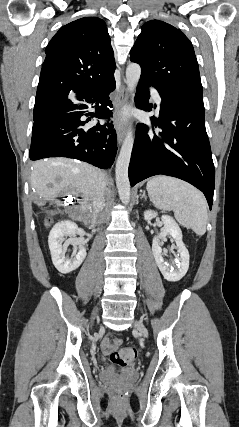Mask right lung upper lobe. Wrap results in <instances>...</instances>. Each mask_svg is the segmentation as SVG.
<instances>
[{"mask_svg": "<svg viewBox=\"0 0 239 427\" xmlns=\"http://www.w3.org/2000/svg\"><path fill=\"white\" fill-rule=\"evenodd\" d=\"M36 100L93 88L114 77L115 61L106 24L84 17L63 26L45 50Z\"/></svg>", "mask_w": 239, "mask_h": 427, "instance_id": "obj_1", "label": "right lung upper lobe"}]
</instances>
